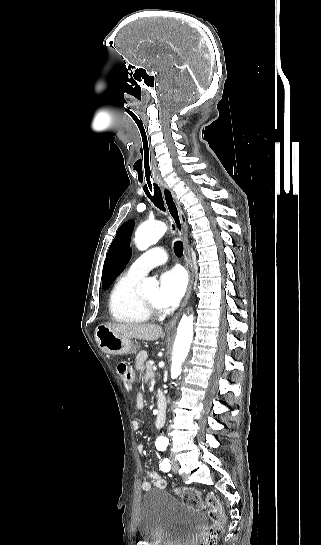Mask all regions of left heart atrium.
Returning <instances> with one entry per match:
<instances>
[{
  "mask_svg": "<svg viewBox=\"0 0 321 545\" xmlns=\"http://www.w3.org/2000/svg\"><path fill=\"white\" fill-rule=\"evenodd\" d=\"M187 280L180 268H172L159 277L156 306L164 312L173 310L185 293Z\"/></svg>",
  "mask_w": 321,
  "mask_h": 545,
  "instance_id": "1",
  "label": "left heart atrium"
}]
</instances>
